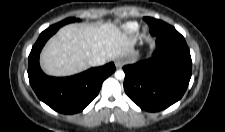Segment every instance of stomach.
Listing matches in <instances>:
<instances>
[{
	"label": "stomach",
	"instance_id": "stomach-1",
	"mask_svg": "<svg viewBox=\"0 0 225 132\" xmlns=\"http://www.w3.org/2000/svg\"><path fill=\"white\" fill-rule=\"evenodd\" d=\"M135 59H136V56L134 55V56L128 57V58H127V61H128V62H132V61H134Z\"/></svg>",
	"mask_w": 225,
	"mask_h": 132
}]
</instances>
